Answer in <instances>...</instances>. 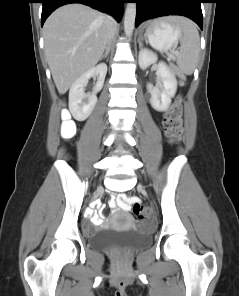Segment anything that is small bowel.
<instances>
[{
    "instance_id": "obj_1",
    "label": "small bowel",
    "mask_w": 239,
    "mask_h": 296,
    "mask_svg": "<svg viewBox=\"0 0 239 296\" xmlns=\"http://www.w3.org/2000/svg\"><path fill=\"white\" fill-rule=\"evenodd\" d=\"M133 199L125 194H119L116 198H112L110 201V207L113 209L127 210L129 202ZM91 222L100 226L104 222V217L94 211H88Z\"/></svg>"
}]
</instances>
